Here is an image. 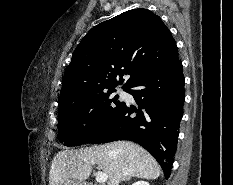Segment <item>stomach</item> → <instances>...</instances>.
<instances>
[{
    "instance_id": "obj_1",
    "label": "stomach",
    "mask_w": 233,
    "mask_h": 185,
    "mask_svg": "<svg viewBox=\"0 0 233 185\" xmlns=\"http://www.w3.org/2000/svg\"><path fill=\"white\" fill-rule=\"evenodd\" d=\"M63 185H86L84 182L74 179L66 180Z\"/></svg>"
}]
</instances>
